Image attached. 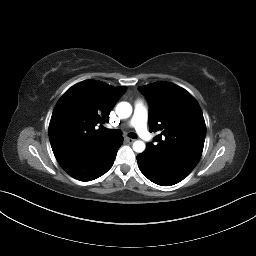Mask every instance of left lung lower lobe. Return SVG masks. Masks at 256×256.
Returning <instances> with one entry per match:
<instances>
[{
    "instance_id": "obj_1",
    "label": "left lung lower lobe",
    "mask_w": 256,
    "mask_h": 256,
    "mask_svg": "<svg viewBox=\"0 0 256 256\" xmlns=\"http://www.w3.org/2000/svg\"><path fill=\"white\" fill-rule=\"evenodd\" d=\"M141 172L150 181L161 186H171L183 180L188 174L176 171L151 157L145 150L137 156Z\"/></svg>"
}]
</instances>
